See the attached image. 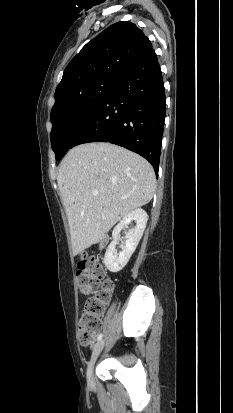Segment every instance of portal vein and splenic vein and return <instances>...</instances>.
<instances>
[{"instance_id":"obj_1","label":"portal vein and splenic vein","mask_w":233,"mask_h":413,"mask_svg":"<svg viewBox=\"0 0 233 413\" xmlns=\"http://www.w3.org/2000/svg\"><path fill=\"white\" fill-rule=\"evenodd\" d=\"M93 195H94V196H98V192H97V191H94V192H93Z\"/></svg>"}]
</instances>
